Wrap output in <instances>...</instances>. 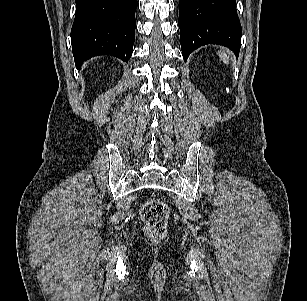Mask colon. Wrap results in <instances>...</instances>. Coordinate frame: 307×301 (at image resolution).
I'll return each instance as SVG.
<instances>
[{"label": "colon", "instance_id": "1", "mask_svg": "<svg viewBox=\"0 0 307 301\" xmlns=\"http://www.w3.org/2000/svg\"><path fill=\"white\" fill-rule=\"evenodd\" d=\"M169 210L159 199L147 201L141 209V218L147 226V234L153 240H161L167 230Z\"/></svg>", "mask_w": 307, "mask_h": 301}]
</instances>
